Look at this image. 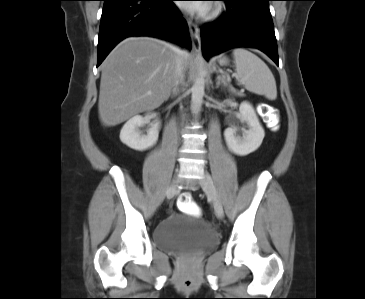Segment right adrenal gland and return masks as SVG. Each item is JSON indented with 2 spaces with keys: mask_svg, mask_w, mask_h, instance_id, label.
I'll list each match as a JSON object with an SVG mask.
<instances>
[{
  "mask_svg": "<svg viewBox=\"0 0 365 299\" xmlns=\"http://www.w3.org/2000/svg\"><path fill=\"white\" fill-rule=\"evenodd\" d=\"M177 87H178V84H175V86H174V88L172 90V93H171L172 96L177 95Z\"/></svg>",
  "mask_w": 365,
  "mask_h": 299,
  "instance_id": "obj_1",
  "label": "right adrenal gland"
}]
</instances>
